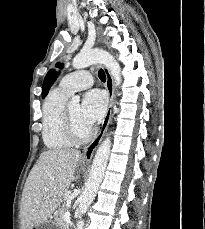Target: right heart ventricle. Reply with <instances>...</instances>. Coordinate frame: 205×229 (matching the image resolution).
<instances>
[{
    "instance_id": "right-heart-ventricle-1",
    "label": "right heart ventricle",
    "mask_w": 205,
    "mask_h": 229,
    "mask_svg": "<svg viewBox=\"0 0 205 229\" xmlns=\"http://www.w3.org/2000/svg\"><path fill=\"white\" fill-rule=\"evenodd\" d=\"M69 94L57 88L51 91L44 100L42 111V137L50 150L68 148L72 142L64 132L63 112Z\"/></svg>"
}]
</instances>
